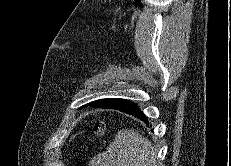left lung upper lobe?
<instances>
[{
	"instance_id": "obj_1",
	"label": "left lung upper lobe",
	"mask_w": 231,
	"mask_h": 166,
	"mask_svg": "<svg viewBox=\"0 0 231 166\" xmlns=\"http://www.w3.org/2000/svg\"><path fill=\"white\" fill-rule=\"evenodd\" d=\"M88 105H90V103H88V104H86V105H84V106H82V107H85V106H88Z\"/></svg>"
}]
</instances>
